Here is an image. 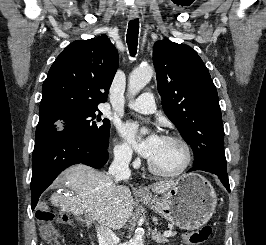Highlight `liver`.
Masks as SVG:
<instances>
[{"label":"liver","instance_id":"6515ba94","mask_svg":"<svg viewBox=\"0 0 266 245\" xmlns=\"http://www.w3.org/2000/svg\"><path fill=\"white\" fill-rule=\"evenodd\" d=\"M65 183L70 195L54 193L53 207H60L64 213L83 215L85 209L101 227L122 229L133 215V199L128 187H117L112 177L99 173L86 165H73L59 177ZM175 185V181H160L150 185L152 193L163 195Z\"/></svg>","mask_w":266,"mask_h":245}]
</instances>
